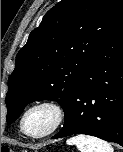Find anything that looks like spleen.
Masks as SVG:
<instances>
[{"mask_svg":"<svg viewBox=\"0 0 123 152\" xmlns=\"http://www.w3.org/2000/svg\"><path fill=\"white\" fill-rule=\"evenodd\" d=\"M67 144L75 145L80 152H114L109 143L90 135H76L70 138Z\"/></svg>","mask_w":123,"mask_h":152,"instance_id":"obj_1","label":"spleen"}]
</instances>
